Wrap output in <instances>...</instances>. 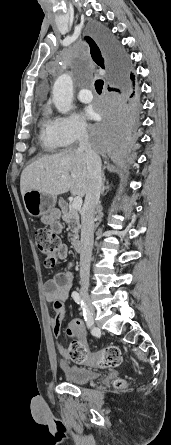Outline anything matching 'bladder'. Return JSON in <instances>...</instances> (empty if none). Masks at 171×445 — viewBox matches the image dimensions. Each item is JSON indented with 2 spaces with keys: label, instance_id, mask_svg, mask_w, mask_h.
<instances>
[{
  "label": "bladder",
  "instance_id": "1",
  "mask_svg": "<svg viewBox=\"0 0 171 445\" xmlns=\"http://www.w3.org/2000/svg\"><path fill=\"white\" fill-rule=\"evenodd\" d=\"M66 380L73 384H85L96 380L99 372L91 368L72 367L65 371Z\"/></svg>",
  "mask_w": 171,
  "mask_h": 445
}]
</instances>
